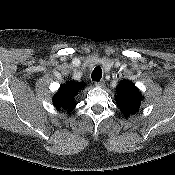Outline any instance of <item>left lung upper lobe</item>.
Instances as JSON below:
<instances>
[{"instance_id": "obj_1", "label": "left lung upper lobe", "mask_w": 175, "mask_h": 175, "mask_svg": "<svg viewBox=\"0 0 175 175\" xmlns=\"http://www.w3.org/2000/svg\"><path fill=\"white\" fill-rule=\"evenodd\" d=\"M116 102L125 117L135 114L141 105L142 95L139 89L128 80L119 83Z\"/></svg>"}]
</instances>
